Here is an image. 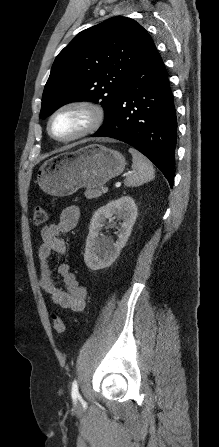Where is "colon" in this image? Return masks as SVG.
Listing matches in <instances>:
<instances>
[{"mask_svg":"<svg viewBox=\"0 0 219 447\" xmlns=\"http://www.w3.org/2000/svg\"><path fill=\"white\" fill-rule=\"evenodd\" d=\"M33 222L36 226H42L47 222V212L43 207L37 206L34 209ZM52 323L57 333L62 334L65 331L64 321L59 315L52 314Z\"/></svg>","mask_w":219,"mask_h":447,"instance_id":"5ec220e1","label":"colon"}]
</instances>
